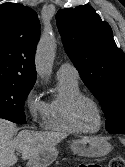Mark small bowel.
<instances>
[{"instance_id": "small-bowel-1", "label": "small bowel", "mask_w": 125, "mask_h": 167, "mask_svg": "<svg viewBox=\"0 0 125 167\" xmlns=\"http://www.w3.org/2000/svg\"><path fill=\"white\" fill-rule=\"evenodd\" d=\"M95 167H100L99 165H94Z\"/></svg>"}]
</instances>
